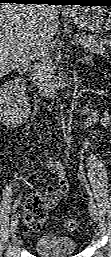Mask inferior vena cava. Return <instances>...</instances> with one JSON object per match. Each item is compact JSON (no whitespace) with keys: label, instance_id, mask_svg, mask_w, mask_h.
I'll use <instances>...</instances> for the list:
<instances>
[{"label":"inferior vena cava","instance_id":"602c4592","mask_svg":"<svg viewBox=\"0 0 111 257\" xmlns=\"http://www.w3.org/2000/svg\"><path fill=\"white\" fill-rule=\"evenodd\" d=\"M47 56L45 42H37L31 49V60L34 62L33 71L34 76L39 80L40 89L43 91V96H46L45 82L47 76ZM46 105V102H44Z\"/></svg>","mask_w":111,"mask_h":257}]
</instances>
